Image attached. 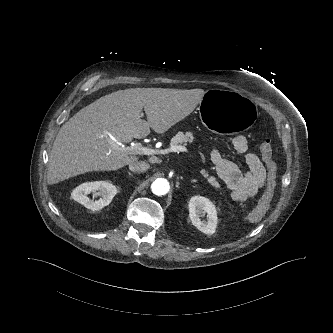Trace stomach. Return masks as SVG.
Wrapping results in <instances>:
<instances>
[{"label": "stomach", "mask_w": 333, "mask_h": 333, "mask_svg": "<svg viewBox=\"0 0 333 333\" xmlns=\"http://www.w3.org/2000/svg\"><path fill=\"white\" fill-rule=\"evenodd\" d=\"M199 115L207 129L214 134L241 135L256 125L258 109L247 96L213 90L201 99Z\"/></svg>", "instance_id": "obj_1"}]
</instances>
